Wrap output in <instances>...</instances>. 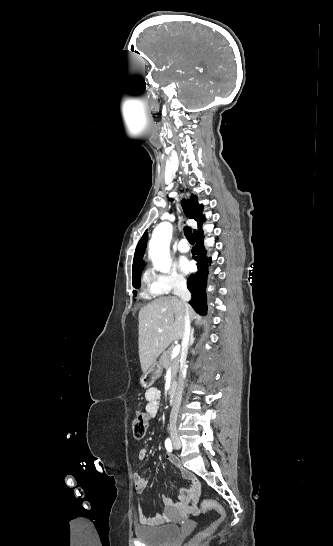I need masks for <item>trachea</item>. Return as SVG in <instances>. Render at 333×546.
<instances>
[{
	"label": "trachea",
	"mask_w": 333,
	"mask_h": 546,
	"mask_svg": "<svg viewBox=\"0 0 333 546\" xmlns=\"http://www.w3.org/2000/svg\"><path fill=\"white\" fill-rule=\"evenodd\" d=\"M184 235L191 244H194L195 241H194V237H193L192 230H191L190 227H188V226L184 227Z\"/></svg>",
	"instance_id": "3493384b"
}]
</instances>
